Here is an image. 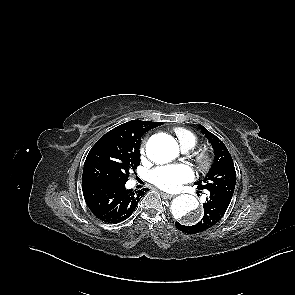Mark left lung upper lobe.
<instances>
[{
  "mask_svg": "<svg viewBox=\"0 0 295 295\" xmlns=\"http://www.w3.org/2000/svg\"><path fill=\"white\" fill-rule=\"evenodd\" d=\"M200 128L214 149V163L204 180L197 181V189H206L212 194L232 197L236 184V172L232 157L225 144L204 126Z\"/></svg>",
  "mask_w": 295,
  "mask_h": 295,
  "instance_id": "left-lung-upper-lobe-1",
  "label": "left lung upper lobe"
}]
</instances>
